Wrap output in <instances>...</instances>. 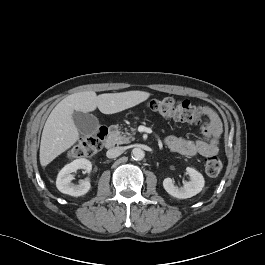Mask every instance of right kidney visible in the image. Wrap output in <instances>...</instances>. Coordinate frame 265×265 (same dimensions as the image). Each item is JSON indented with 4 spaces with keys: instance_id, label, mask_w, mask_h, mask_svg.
Wrapping results in <instances>:
<instances>
[{
    "instance_id": "1",
    "label": "right kidney",
    "mask_w": 265,
    "mask_h": 265,
    "mask_svg": "<svg viewBox=\"0 0 265 265\" xmlns=\"http://www.w3.org/2000/svg\"><path fill=\"white\" fill-rule=\"evenodd\" d=\"M78 169H83L89 173L92 169V164L89 160L80 158L65 165L58 173L56 179V187L60 192L78 197L86 194L90 190L91 184L88 179L82 180L79 184L71 183L74 179L71 173L76 172Z\"/></svg>"
}]
</instances>
